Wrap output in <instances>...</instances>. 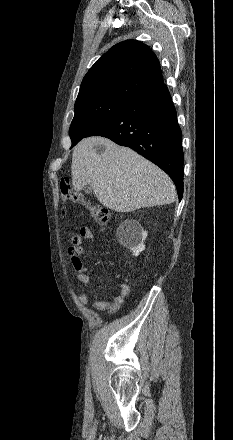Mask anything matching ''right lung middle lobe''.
I'll list each match as a JSON object with an SVG mask.
<instances>
[{
	"label": "right lung middle lobe",
	"mask_w": 233,
	"mask_h": 440,
	"mask_svg": "<svg viewBox=\"0 0 233 440\" xmlns=\"http://www.w3.org/2000/svg\"><path fill=\"white\" fill-rule=\"evenodd\" d=\"M127 101L115 99H89L75 103V115L72 120L69 134L72 146L81 139L104 125L116 115Z\"/></svg>",
	"instance_id": "obj_1"
}]
</instances>
